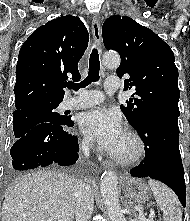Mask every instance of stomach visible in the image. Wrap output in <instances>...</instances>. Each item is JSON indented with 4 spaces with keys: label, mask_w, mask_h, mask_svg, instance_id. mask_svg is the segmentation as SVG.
<instances>
[{
    "label": "stomach",
    "mask_w": 190,
    "mask_h": 221,
    "mask_svg": "<svg viewBox=\"0 0 190 221\" xmlns=\"http://www.w3.org/2000/svg\"><path fill=\"white\" fill-rule=\"evenodd\" d=\"M124 195L137 203L151 204L152 193L149 185L141 178L126 177L121 181Z\"/></svg>",
    "instance_id": "stomach-1"
}]
</instances>
